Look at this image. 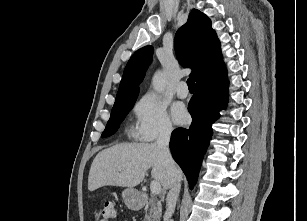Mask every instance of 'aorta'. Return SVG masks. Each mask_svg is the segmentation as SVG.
Returning a JSON list of instances; mask_svg holds the SVG:
<instances>
[{
	"label": "aorta",
	"instance_id": "obj_1",
	"mask_svg": "<svg viewBox=\"0 0 307 221\" xmlns=\"http://www.w3.org/2000/svg\"><path fill=\"white\" fill-rule=\"evenodd\" d=\"M166 84L167 81L163 72L157 71L152 78L153 89L158 93H162L166 88Z\"/></svg>",
	"mask_w": 307,
	"mask_h": 221
}]
</instances>
